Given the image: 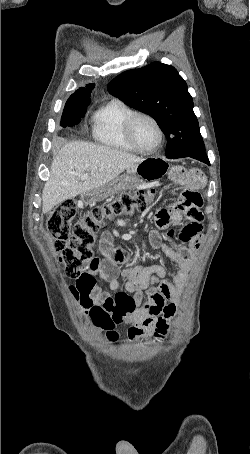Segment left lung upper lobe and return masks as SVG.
<instances>
[{
  "label": "left lung upper lobe",
  "mask_w": 250,
  "mask_h": 454,
  "mask_svg": "<svg viewBox=\"0 0 250 454\" xmlns=\"http://www.w3.org/2000/svg\"><path fill=\"white\" fill-rule=\"evenodd\" d=\"M108 91L153 117L168 141L166 157L205 151L193 100L177 70L159 62L118 75Z\"/></svg>",
  "instance_id": "obj_1"
}]
</instances>
